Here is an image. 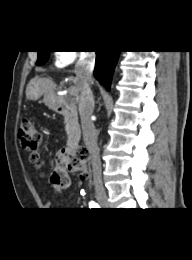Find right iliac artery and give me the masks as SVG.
Segmentation results:
<instances>
[{
  "label": "right iliac artery",
  "mask_w": 192,
  "mask_h": 260,
  "mask_svg": "<svg viewBox=\"0 0 192 260\" xmlns=\"http://www.w3.org/2000/svg\"><path fill=\"white\" fill-rule=\"evenodd\" d=\"M89 207H90L91 209H98V208H99V205H98L96 202L91 201V202L89 203Z\"/></svg>",
  "instance_id": "obj_1"
}]
</instances>
